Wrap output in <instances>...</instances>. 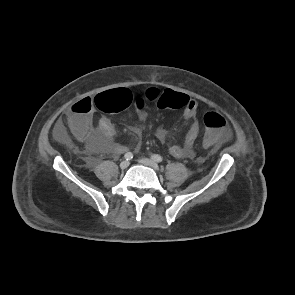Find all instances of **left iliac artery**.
<instances>
[{"instance_id": "obj_1", "label": "left iliac artery", "mask_w": 295, "mask_h": 295, "mask_svg": "<svg viewBox=\"0 0 295 295\" xmlns=\"http://www.w3.org/2000/svg\"><path fill=\"white\" fill-rule=\"evenodd\" d=\"M151 159L153 160V161H155V162H162L163 161V158L160 156V155H158V154H154V155H152L151 156Z\"/></svg>"}]
</instances>
